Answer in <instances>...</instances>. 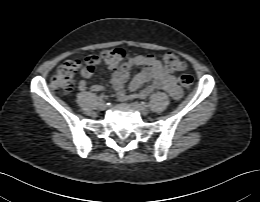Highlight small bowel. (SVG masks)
Returning a JSON list of instances; mask_svg holds the SVG:
<instances>
[{"instance_id":"1","label":"small bowel","mask_w":260,"mask_h":202,"mask_svg":"<svg viewBox=\"0 0 260 202\" xmlns=\"http://www.w3.org/2000/svg\"><path fill=\"white\" fill-rule=\"evenodd\" d=\"M134 67H140L141 70L130 80L131 70ZM93 71L83 70V78H89ZM111 83L116 91L117 97L121 101H128L132 98L144 99L155 90H164L174 99L181 97V89L177 85L173 75L167 73L161 62L151 54L136 55L130 57L127 61L113 70ZM79 90L88 88L86 80H80L77 84ZM91 91H104L102 85H91Z\"/></svg>"}]
</instances>
